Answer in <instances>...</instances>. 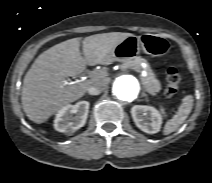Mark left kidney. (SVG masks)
<instances>
[{
    "label": "left kidney",
    "instance_id": "1",
    "mask_svg": "<svg viewBox=\"0 0 212 183\" xmlns=\"http://www.w3.org/2000/svg\"><path fill=\"white\" fill-rule=\"evenodd\" d=\"M131 115L136 126L143 132L155 134L160 131L162 116L156 108L147 105H135L131 108Z\"/></svg>",
    "mask_w": 212,
    "mask_h": 183
}]
</instances>
